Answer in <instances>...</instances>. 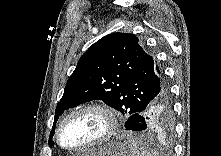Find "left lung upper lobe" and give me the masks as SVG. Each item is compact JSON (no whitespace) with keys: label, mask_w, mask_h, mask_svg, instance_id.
Segmentation results:
<instances>
[{"label":"left lung upper lobe","mask_w":221,"mask_h":156,"mask_svg":"<svg viewBox=\"0 0 221 156\" xmlns=\"http://www.w3.org/2000/svg\"><path fill=\"white\" fill-rule=\"evenodd\" d=\"M138 41L133 34L112 33L94 43L68 79L55 118L91 100H102L128 116L148 105L164 74Z\"/></svg>","instance_id":"5c2ea615"}]
</instances>
